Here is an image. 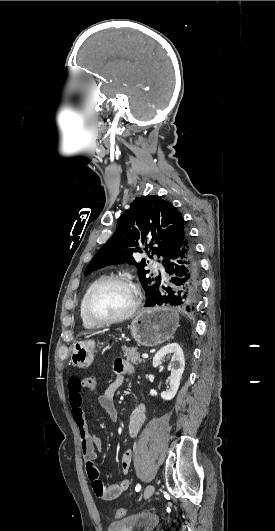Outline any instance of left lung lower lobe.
<instances>
[{"label":"left lung lower lobe","mask_w":275,"mask_h":531,"mask_svg":"<svg viewBox=\"0 0 275 531\" xmlns=\"http://www.w3.org/2000/svg\"><path fill=\"white\" fill-rule=\"evenodd\" d=\"M165 270L170 275V284L163 286L153 302L145 306H172L194 315L201 295L200 264L186 228L174 241Z\"/></svg>","instance_id":"left-lung-lower-lobe-1"}]
</instances>
